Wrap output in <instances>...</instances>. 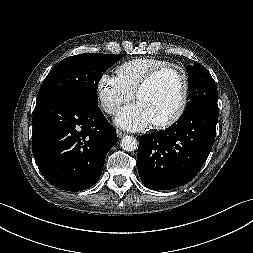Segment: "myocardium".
I'll return each mask as SVG.
<instances>
[{"label": "myocardium", "mask_w": 253, "mask_h": 253, "mask_svg": "<svg viewBox=\"0 0 253 253\" xmlns=\"http://www.w3.org/2000/svg\"><path fill=\"white\" fill-rule=\"evenodd\" d=\"M167 73H174L178 76L181 82V99L179 107L173 115H171L167 119L152 122V125L158 129H165L173 126L185 114L189 102V92H190L189 76L187 71L184 68L177 65H167L161 68H157L145 76V78L138 85L134 93V98L137 99V97L142 92L150 88L159 77Z\"/></svg>", "instance_id": "1"}]
</instances>
